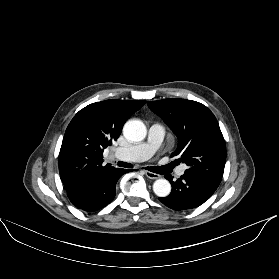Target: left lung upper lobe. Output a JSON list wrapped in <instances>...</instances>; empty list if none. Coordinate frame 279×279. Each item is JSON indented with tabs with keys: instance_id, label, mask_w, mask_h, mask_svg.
Masks as SVG:
<instances>
[{
	"instance_id": "left-lung-upper-lobe-1",
	"label": "left lung upper lobe",
	"mask_w": 279,
	"mask_h": 279,
	"mask_svg": "<svg viewBox=\"0 0 279 279\" xmlns=\"http://www.w3.org/2000/svg\"><path fill=\"white\" fill-rule=\"evenodd\" d=\"M178 137L171 157L186 163V174L198 177L214 188L221 182L226 161V144L217 119L203 104L185 99L147 102Z\"/></svg>"
}]
</instances>
